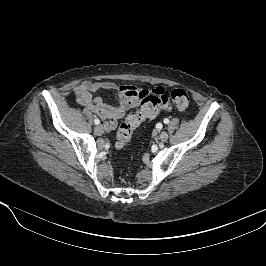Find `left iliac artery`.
<instances>
[{
	"label": "left iliac artery",
	"mask_w": 266,
	"mask_h": 266,
	"mask_svg": "<svg viewBox=\"0 0 266 266\" xmlns=\"http://www.w3.org/2000/svg\"><path fill=\"white\" fill-rule=\"evenodd\" d=\"M164 123H165V124H168V123H169V119L165 118V119H164Z\"/></svg>",
	"instance_id": "obj_1"
}]
</instances>
